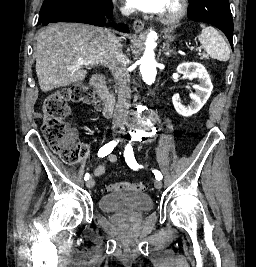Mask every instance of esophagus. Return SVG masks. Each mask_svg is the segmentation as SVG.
I'll use <instances>...</instances> for the list:
<instances>
[{
    "label": "esophagus",
    "instance_id": "34e87169",
    "mask_svg": "<svg viewBox=\"0 0 256 267\" xmlns=\"http://www.w3.org/2000/svg\"><path fill=\"white\" fill-rule=\"evenodd\" d=\"M133 29L135 33H139L144 29V23L141 20H135L133 23Z\"/></svg>",
    "mask_w": 256,
    "mask_h": 267
}]
</instances>
